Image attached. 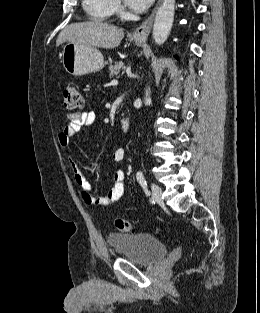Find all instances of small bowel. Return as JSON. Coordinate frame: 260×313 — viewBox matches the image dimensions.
<instances>
[{
  "instance_id": "obj_1",
  "label": "small bowel",
  "mask_w": 260,
  "mask_h": 313,
  "mask_svg": "<svg viewBox=\"0 0 260 313\" xmlns=\"http://www.w3.org/2000/svg\"><path fill=\"white\" fill-rule=\"evenodd\" d=\"M97 121L96 114L92 111L75 112L68 116V124L57 135L58 145L62 148L69 146L71 139L82 128L93 126ZM114 162L120 163L125 159V150L116 149L112 154ZM68 162L73 173L75 183L80 187L81 197L84 203L90 206H108L116 203L125 191V173L118 171L113 180V186L106 196L96 197L92 187L79 169L78 164L72 158Z\"/></svg>"
}]
</instances>
